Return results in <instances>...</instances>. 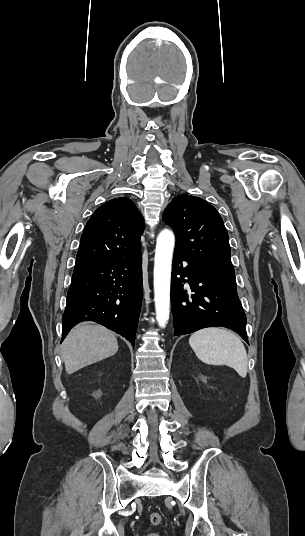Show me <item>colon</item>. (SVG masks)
<instances>
[{
    "label": "colon",
    "instance_id": "obj_1",
    "mask_svg": "<svg viewBox=\"0 0 305 536\" xmlns=\"http://www.w3.org/2000/svg\"><path fill=\"white\" fill-rule=\"evenodd\" d=\"M150 522L154 525H159L162 523V515L160 513L152 512L150 514ZM150 536H154L151 534Z\"/></svg>",
    "mask_w": 305,
    "mask_h": 536
}]
</instances>
